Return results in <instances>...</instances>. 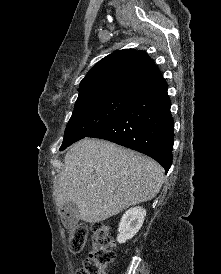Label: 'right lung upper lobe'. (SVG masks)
Listing matches in <instances>:
<instances>
[{"label": "right lung upper lobe", "instance_id": "right-lung-upper-lobe-1", "mask_svg": "<svg viewBox=\"0 0 221 274\" xmlns=\"http://www.w3.org/2000/svg\"><path fill=\"white\" fill-rule=\"evenodd\" d=\"M163 80L145 52L118 50L99 61L83 78L77 100L93 97L134 100Z\"/></svg>", "mask_w": 221, "mask_h": 274}]
</instances>
